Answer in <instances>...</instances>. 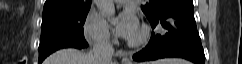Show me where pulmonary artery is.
<instances>
[{"label":"pulmonary artery","mask_w":242,"mask_h":64,"mask_svg":"<svg viewBox=\"0 0 242 64\" xmlns=\"http://www.w3.org/2000/svg\"><path fill=\"white\" fill-rule=\"evenodd\" d=\"M116 2H118V3H125V2H127V0H115Z\"/></svg>","instance_id":"1"}]
</instances>
